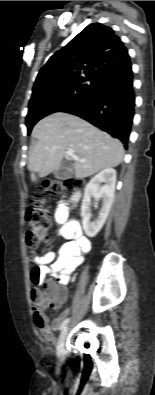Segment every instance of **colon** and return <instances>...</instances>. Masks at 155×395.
Returning a JSON list of instances; mask_svg holds the SVG:
<instances>
[{
  "instance_id": "1",
  "label": "colon",
  "mask_w": 155,
  "mask_h": 395,
  "mask_svg": "<svg viewBox=\"0 0 155 395\" xmlns=\"http://www.w3.org/2000/svg\"><path fill=\"white\" fill-rule=\"evenodd\" d=\"M80 185L81 182L79 180L68 178L64 180L62 184H53L52 189L55 192H60L63 189H77ZM25 217L29 225V229L26 233V244L30 251V260L35 262L38 258V254H33L32 248L36 247V245L40 247L48 240V232L51 227L50 216L47 209L43 206V203L37 201L27 209ZM31 282L33 284L32 299L35 306L40 305L44 298H57L61 296L62 290H59L53 283L43 284V281H41L43 291L37 292L34 288V281Z\"/></svg>"
}]
</instances>
